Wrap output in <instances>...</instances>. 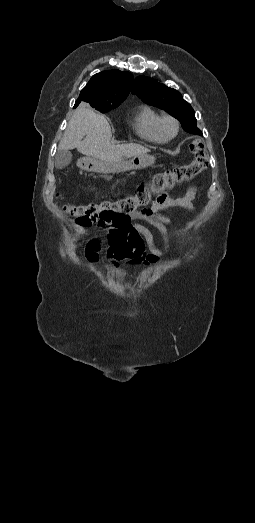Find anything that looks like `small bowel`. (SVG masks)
<instances>
[{
  "instance_id": "small-bowel-1",
  "label": "small bowel",
  "mask_w": 255,
  "mask_h": 523,
  "mask_svg": "<svg viewBox=\"0 0 255 523\" xmlns=\"http://www.w3.org/2000/svg\"><path fill=\"white\" fill-rule=\"evenodd\" d=\"M196 189L189 187L180 197H165L156 201L151 208L141 209L130 214L126 224L116 227L111 224L99 222L98 226L107 229V240L109 247L105 256L114 265L125 261L128 265L147 266L158 262L170 248V236L166 226H174L170 218L162 215L160 211L180 207L194 211ZM132 220L146 221L160 233L163 247L158 248L154 243L152 232L140 223ZM100 242L98 239H90L84 245V254L88 261L94 263L99 260Z\"/></svg>"
}]
</instances>
